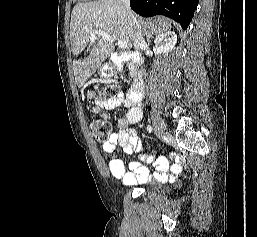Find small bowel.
<instances>
[{"instance_id":"c3829d8e","label":"small bowel","mask_w":257,"mask_h":237,"mask_svg":"<svg viewBox=\"0 0 257 237\" xmlns=\"http://www.w3.org/2000/svg\"><path fill=\"white\" fill-rule=\"evenodd\" d=\"M121 106L127 108L126 116L116 120L118 131L113 133L102 147L110 174L120 179L125 187L145 183L152 177L162 182L173 180L182 170L180 163L176 161L170 166L167 159L160 155L145 154L136 130L131 127L142 118V110L138 103L130 101L120 92L114 97L99 102L92 108V112L107 117V114L102 112L103 109L111 110ZM118 147L126 154L135 152L141 160L151 162L156 167L154 175L151 176L148 168L140 162L129 163L130 171H126L125 164L117 153Z\"/></svg>"}]
</instances>
